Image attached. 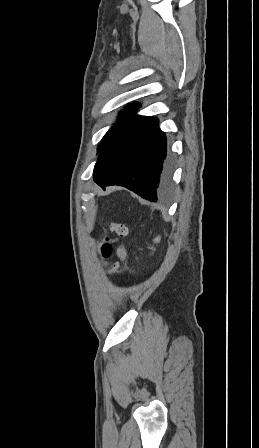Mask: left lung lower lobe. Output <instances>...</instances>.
Wrapping results in <instances>:
<instances>
[{"mask_svg": "<svg viewBox=\"0 0 259 448\" xmlns=\"http://www.w3.org/2000/svg\"><path fill=\"white\" fill-rule=\"evenodd\" d=\"M158 122L152 116H131L103 145L93 173L100 187L123 186L151 201L168 191L173 162Z\"/></svg>", "mask_w": 259, "mask_h": 448, "instance_id": "0a47b994", "label": "left lung lower lobe"}]
</instances>
